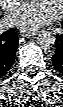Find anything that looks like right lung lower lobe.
Instances as JSON below:
<instances>
[{
    "label": "right lung lower lobe",
    "instance_id": "obj_1",
    "mask_svg": "<svg viewBox=\"0 0 63 107\" xmlns=\"http://www.w3.org/2000/svg\"><path fill=\"white\" fill-rule=\"evenodd\" d=\"M18 42L17 34L13 29L0 35V77L4 76L13 65Z\"/></svg>",
    "mask_w": 63,
    "mask_h": 107
}]
</instances>
